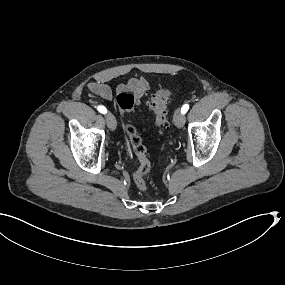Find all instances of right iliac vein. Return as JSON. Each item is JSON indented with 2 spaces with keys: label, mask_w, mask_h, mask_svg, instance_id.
Wrapping results in <instances>:
<instances>
[{
  "label": "right iliac vein",
  "mask_w": 285,
  "mask_h": 285,
  "mask_svg": "<svg viewBox=\"0 0 285 285\" xmlns=\"http://www.w3.org/2000/svg\"><path fill=\"white\" fill-rule=\"evenodd\" d=\"M107 126L109 127L110 130H115L116 129V119L113 116L112 113H107L105 115Z\"/></svg>",
  "instance_id": "63e3f726"
}]
</instances>
